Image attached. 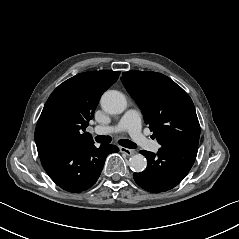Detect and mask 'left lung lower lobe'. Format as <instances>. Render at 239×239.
<instances>
[{
    "mask_svg": "<svg viewBox=\"0 0 239 239\" xmlns=\"http://www.w3.org/2000/svg\"><path fill=\"white\" fill-rule=\"evenodd\" d=\"M198 146L170 145L161 147L157 154L140 151L147 158V169L134 173L135 182L143 189L159 193L178 185L190 171L197 155Z\"/></svg>",
    "mask_w": 239,
    "mask_h": 239,
    "instance_id": "1",
    "label": "left lung lower lobe"
}]
</instances>
